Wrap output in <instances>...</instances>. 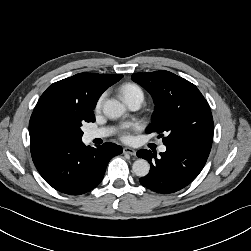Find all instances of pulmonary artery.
I'll list each match as a JSON object with an SVG mask.
<instances>
[{"label": "pulmonary artery", "mask_w": 251, "mask_h": 251, "mask_svg": "<svg viewBox=\"0 0 251 251\" xmlns=\"http://www.w3.org/2000/svg\"><path fill=\"white\" fill-rule=\"evenodd\" d=\"M142 104V101L137 99V100H134V101H131L128 103L129 107L132 109V110H137L140 108ZM109 134V130L108 129H95V130H89L85 133V138L87 141H92L96 138H103V137H106L107 135ZM159 151L160 152H165L166 151V146L164 145H161L159 147Z\"/></svg>", "instance_id": "pulmonary-artery-1"}]
</instances>
